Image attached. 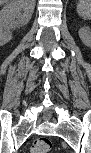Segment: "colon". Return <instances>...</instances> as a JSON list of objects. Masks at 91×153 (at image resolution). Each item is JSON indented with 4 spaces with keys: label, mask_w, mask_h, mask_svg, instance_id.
<instances>
[{
    "label": "colon",
    "mask_w": 91,
    "mask_h": 153,
    "mask_svg": "<svg viewBox=\"0 0 91 153\" xmlns=\"http://www.w3.org/2000/svg\"><path fill=\"white\" fill-rule=\"evenodd\" d=\"M52 148L50 138L41 137L36 139L31 146V153H48Z\"/></svg>",
    "instance_id": "5ec220e1"
}]
</instances>
